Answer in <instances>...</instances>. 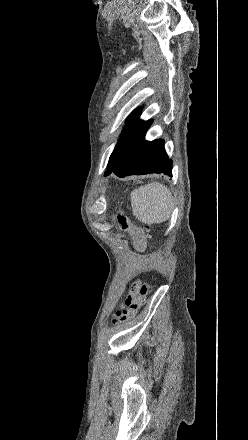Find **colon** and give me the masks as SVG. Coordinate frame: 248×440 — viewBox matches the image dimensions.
Returning <instances> with one entry per match:
<instances>
[{"label": "colon", "mask_w": 248, "mask_h": 440, "mask_svg": "<svg viewBox=\"0 0 248 440\" xmlns=\"http://www.w3.org/2000/svg\"><path fill=\"white\" fill-rule=\"evenodd\" d=\"M118 222L123 229L128 228L126 219L123 216L118 217ZM150 238L149 227L145 226L141 230L139 248H145ZM150 292V285L141 281H137L133 284V287L126 299V306L128 311L119 312L113 323H125L130 320L135 311L143 304L145 297Z\"/></svg>", "instance_id": "1"}]
</instances>
